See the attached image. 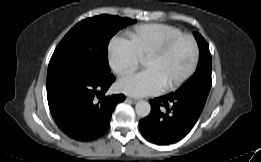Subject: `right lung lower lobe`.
<instances>
[{
    "mask_svg": "<svg viewBox=\"0 0 261 162\" xmlns=\"http://www.w3.org/2000/svg\"><path fill=\"white\" fill-rule=\"evenodd\" d=\"M114 81L113 74L96 76L80 70L47 79L48 104L58 127L79 141L105 134L115 106L125 99L123 94L102 95ZM96 97L100 99L98 102Z\"/></svg>",
    "mask_w": 261,
    "mask_h": 162,
    "instance_id": "obj_1",
    "label": "right lung lower lobe"
}]
</instances>
